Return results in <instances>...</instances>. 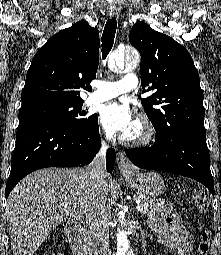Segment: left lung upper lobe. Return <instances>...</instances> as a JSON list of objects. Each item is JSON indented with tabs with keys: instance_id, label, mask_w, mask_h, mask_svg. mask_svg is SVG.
<instances>
[{
	"instance_id": "1",
	"label": "left lung upper lobe",
	"mask_w": 221,
	"mask_h": 255,
	"mask_svg": "<svg viewBox=\"0 0 221 255\" xmlns=\"http://www.w3.org/2000/svg\"><path fill=\"white\" fill-rule=\"evenodd\" d=\"M129 41L141 55L142 88L154 91L141 103L156 137L172 138L183 131L206 134L203 91L189 52L142 21L131 28Z\"/></svg>"
}]
</instances>
